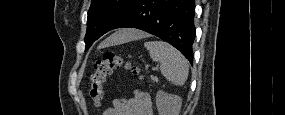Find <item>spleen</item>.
<instances>
[{
  "label": "spleen",
  "mask_w": 285,
  "mask_h": 115,
  "mask_svg": "<svg viewBox=\"0 0 285 115\" xmlns=\"http://www.w3.org/2000/svg\"><path fill=\"white\" fill-rule=\"evenodd\" d=\"M144 46L149 51L151 59L160 62V70L164 77L176 86H183L189 72L186 58L167 42L148 41Z\"/></svg>",
  "instance_id": "3e777b00"
}]
</instances>
